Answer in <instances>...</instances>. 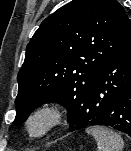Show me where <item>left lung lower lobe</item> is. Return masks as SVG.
Here are the masks:
<instances>
[{
	"label": "left lung lower lobe",
	"instance_id": "left-lung-lower-lobe-1",
	"mask_svg": "<svg viewBox=\"0 0 131 151\" xmlns=\"http://www.w3.org/2000/svg\"><path fill=\"white\" fill-rule=\"evenodd\" d=\"M92 125L131 136V47L114 57L100 72L70 131Z\"/></svg>",
	"mask_w": 131,
	"mask_h": 151
}]
</instances>
